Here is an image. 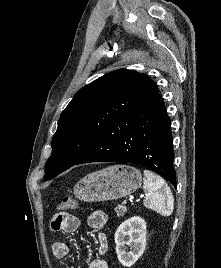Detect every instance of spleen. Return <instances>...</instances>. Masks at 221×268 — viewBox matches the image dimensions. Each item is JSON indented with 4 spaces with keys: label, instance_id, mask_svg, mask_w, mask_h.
Segmentation results:
<instances>
[{
    "label": "spleen",
    "instance_id": "obj_1",
    "mask_svg": "<svg viewBox=\"0 0 221 268\" xmlns=\"http://www.w3.org/2000/svg\"><path fill=\"white\" fill-rule=\"evenodd\" d=\"M143 189L146 197L143 204L162 216H170L174 209V199L165 180L150 170H144Z\"/></svg>",
    "mask_w": 221,
    "mask_h": 268
}]
</instances>
